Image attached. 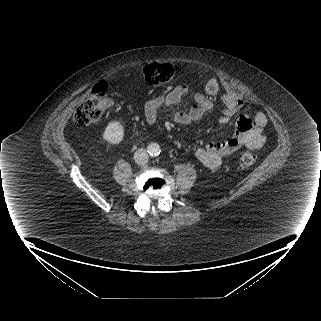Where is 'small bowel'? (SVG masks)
Returning a JSON list of instances; mask_svg holds the SVG:
<instances>
[{"instance_id": "c3829d8e", "label": "small bowel", "mask_w": 321, "mask_h": 321, "mask_svg": "<svg viewBox=\"0 0 321 321\" xmlns=\"http://www.w3.org/2000/svg\"><path fill=\"white\" fill-rule=\"evenodd\" d=\"M189 96L193 102L189 111H179L173 115V120L181 125L199 121L213 108V101L202 92L192 91L187 85H179L165 95L147 98L144 106L145 120L155 123L161 110L168 109L178 104L184 97ZM223 111L219 117L221 123L233 121L244 109V102L235 93H223L221 95ZM106 103L111 105V100ZM266 115L259 110H248L237 118L234 134L224 141H212L199 147L195 151V158L209 169H217L221 166L225 156L235 152L241 147L257 150L263 147L266 138L264 127Z\"/></svg>"}]
</instances>
